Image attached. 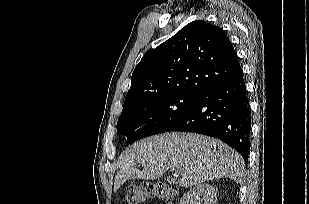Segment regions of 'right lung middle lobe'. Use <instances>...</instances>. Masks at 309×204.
<instances>
[{
    "label": "right lung middle lobe",
    "instance_id": "1",
    "mask_svg": "<svg viewBox=\"0 0 309 204\" xmlns=\"http://www.w3.org/2000/svg\"><path fill=\"white\" fill-rule=\"evenodd\" d=\"M198 97L173 93L125 104L117 122V132L125 135L130 144L165 132L197 102Z\"/></svg>",
    "mask_w": 309,
    "mask_h": 204
}]
</instances>
